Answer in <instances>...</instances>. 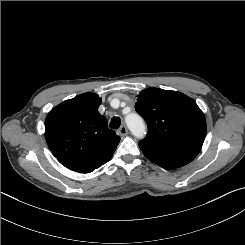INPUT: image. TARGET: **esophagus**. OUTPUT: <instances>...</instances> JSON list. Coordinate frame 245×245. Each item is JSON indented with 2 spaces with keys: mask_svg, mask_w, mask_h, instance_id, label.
Returning <instances> with one entry per match:
<instances>
[{
  "mask_svg": "<svg viewBox=\"0 0 245 245\" xmlns=\"http://www.w3.org/2000/svg\"><path fill=\"white\" fill-rule=\"evenodd\" d=\"M117 133H118V135H120V136H125V135L128 134V129H127V127H126L125 125H122V126L118 129Z\"/></svg>",
  "mask_w": 245,
  "mask_h": 245,
  "instance_id": "34e87169",
  "label": "esophagus"
}]
</instances>
